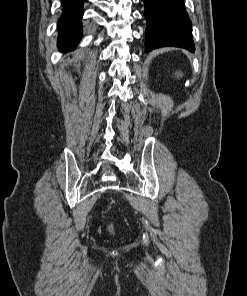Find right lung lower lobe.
<instances>
[{"instance_id": "right-lung-lower-lobe-1", "label": "right lung lower lobe", "mask_w": 247, "mask_h": 296, "mask_svg": "<svg viewBox=\"0 0 247 296\" xmlns=\"http://www.w3.org/2000/svg\"><path fill=\"white\" fill-rule=\"evenodd\" d=\"M63 5L62 16L59 22L60 36L58 47L62 51L71 50L82 36L81 18L83 3L86 0H61Z\"/></svg>"}]
</instances>
